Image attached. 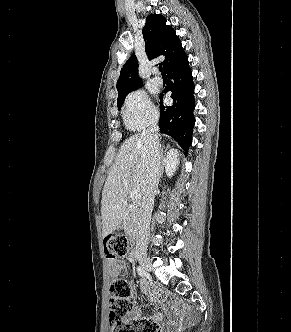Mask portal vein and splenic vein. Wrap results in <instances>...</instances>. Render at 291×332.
Wrapping results in <instances>:
<instances>
[{
    "label": "portal vein and splenic vein",
    "instance_id": "portal-vein-and-splenic-vein-1",
    "mask_svg": "<svg viewBox=\"0 0 291 332\" xmlns=\"http://www.w3.org/2000/svg\"><path fill=\"white\" fill-rule=\"evenodd\" d=\"M123 184H124V185H127V182L124 181ZM130 198H131L133 201H136V200L140 199V198H141V192H140L139 190H132V191L130 192Z\"/></svg>",
    "mask_w": 291,
    "mask_h": 332
}]
</instances>
